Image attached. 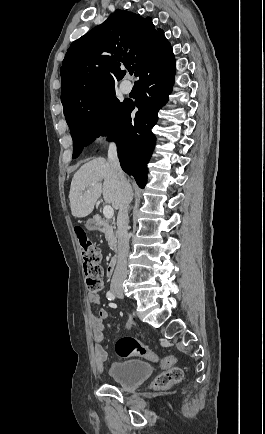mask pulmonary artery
Segmentation results:
<instances>
[{
  "label": "pulmonary artery",
  "instance_id": "pulmonary-artery-1",
  "mask_svg": "<svg viewBox=\"0 0 265 434\" xmlns=\"http://www.w3.org/2000/svg\"><path fill=\"white\" fill-rule=\"evenodd\" d=\"M120 89H121V91H122L124 94H129L130 91H131V87L126 86V85H124V84H121V85H120Z\"/></svg>",
  "mask_w": 265,
  "mask_h": 434
}]
</instances>
